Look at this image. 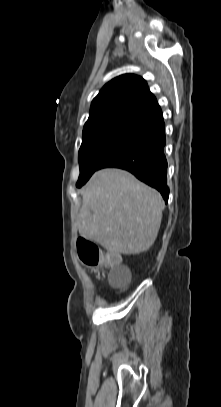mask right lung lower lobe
<instances>
[{
  "label": "right lung lower lobe",
  "instance_id": "98d812e1",
  "mask_svg": "<svg viewBox=\"0 0 221 407\" xmlns=\"http://www.w3.org/2000/svg\"><path fill=\"white\" fill-rule=\"evenodd\" d=\"M162 112L140 125L101 164L100 169L116 167L127 170L139 180L156 188L167 203V161Z\"/></svg>",
  "mask_w": 221,
  "mask_h": 407
}]
</instances>
